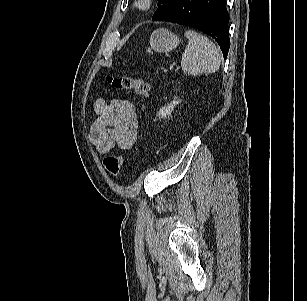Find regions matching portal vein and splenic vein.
<instances>
[{
  "label": "portal vein and splenic vein",
  "mask_w": 307,
  "mask_h": 301,
  "mask_svg": "<svg viewBox=\"0 0 307 301\" xmlns=\"http://www.w3.org/2000/svg\"><path fill=\"white\" fill-rule=\"evenodd\" d=\"M163 72H164V73H167V72H168V69H164Z\"/></svg>",
  "instance_id": "1"
}]
</instances>
